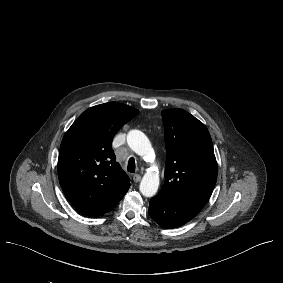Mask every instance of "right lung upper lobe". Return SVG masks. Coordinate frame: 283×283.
Wrapping results in <instances>:
<instances>
[{"instance_id":"obj_1","label":"right lung upper lobe","mask_w":283,"mask_h":283,"mask_svg":"<svg viewBox=\"0 0 283 283\" xmlns=\"http://www.w3.org/2000/svg\"><path fill=\"white\" fill-rule=\"evenodd\" d=\"M138 114L130 106L109 102L87 109L66 132L59 150V182L81 213L99 217L116 207L130 187L116 162L112 140Z\"/></svg>"}]
</instances>
